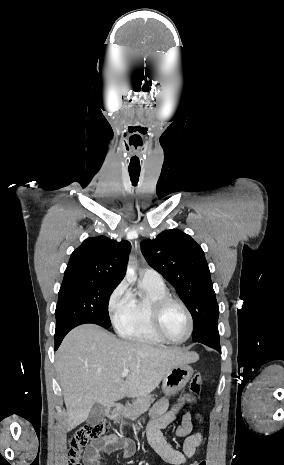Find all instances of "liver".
<instances>
[{
    "mask_svg": "<svg viewBox=\"0 0 284 465\" xmlns=\"http://www.w3.org/2000/svg\"><path fill=\"white\" fill-rule=\"evenodd\" d=\"M198 359L197 353H183L179 347L121 341L97 325L76 327L56 353L67 431L84 423L95 403L112 407L124 397L148 395L171 369ZM123 369H129L128 377H122Z\"/></svg>",
    "mask_w": 284,
    "mask_h": 465,
    "instance_id": "6515ba94",
    "label": "liver"
}]
</instances>
